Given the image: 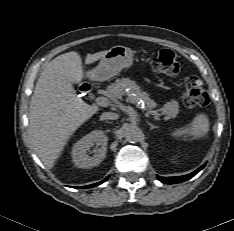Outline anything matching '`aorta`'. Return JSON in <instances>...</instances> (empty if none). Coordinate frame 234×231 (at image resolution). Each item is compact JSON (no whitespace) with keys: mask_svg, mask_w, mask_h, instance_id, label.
<instances>
[{"mask_svg":"<svg viewBox=\"0 0 234 231\" xmlns=\"http://www.w3.org/2000/svg\"><path fill=\"white\" fill-rule=\"evenodd\" d=\"M141 135L142 132L137 126H129L124 131L125 139L131 143L138 142Z\"/></svg>","mask_w":234,"mask_h":231,"instance_id":"1","label":"aorta"}]
</instances>
